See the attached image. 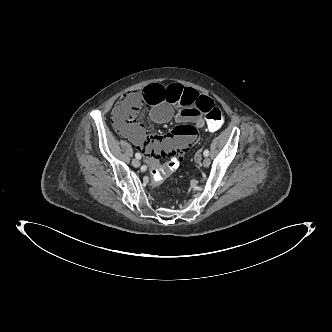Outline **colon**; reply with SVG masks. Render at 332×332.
<instances>
[{"mask_svg":"<svg viewBox=\"0 0 332 332\" xmlns=\"http://www.w3.org/2000/svg\"><path fill=\"white\" fill-rule=\"evenodd\" d=\"M141 94L142 93L140 92H131L120 98L114 110V124L117 127H126L134 123L135 116L143 107L141 103ZM205 118L207 124L215 130L222 126L224 122V113L220 107L212 105L205 111ZM181 161L182 159L179 160L176 157H171L167 162H162L159 166L154 167L151 171L152 182L159 185L172 172L179 171L182 165Z\"/></svg>","mask_w":332,"mask_h":332,"instance_id":"1","label":"colon"}]
</instances>
